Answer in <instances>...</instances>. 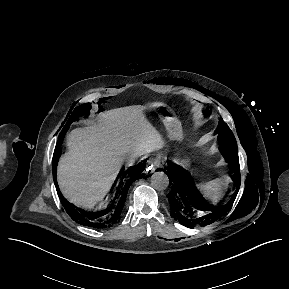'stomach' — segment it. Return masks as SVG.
<instances>
[{
    "label": "stomach",
    "mask_w": 289,
    "mask_h": 289,
    "mask_svg": "<svg viewBox=\"0 0 289 289\" xmlns=\"http://www.w3.org/2000/svg\"><path fill=\"white\" fill-rule=\"evenodd\" d=\"M146 109H154L158 112L161 121L169 132V138L171 140L178 143H181L184 140V132L181 122L168 105L161 102H154L147 105ZM183 163L186 165V161Z\"/></svg>",
    "instance_id": "0dacf381"
}]
</instances>
